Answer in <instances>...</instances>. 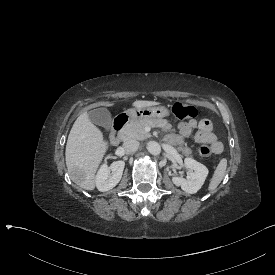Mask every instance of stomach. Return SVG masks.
<instances>
[{"label": "stomach", "mask_w": 275, "mask_h": 275, "mask_svg": "<svg viewBox=\"0 0 275 275\" xmlns=\"http://www.w3.org/2000/svg\"><path fill=\"white\" fill-rule=\"evenodd\" d=\"M125 112L132 120L160 119L170 116V110L166 106L132 108Z\"/></svg>", "instance_id": "stomach-1"}]
</instances>
